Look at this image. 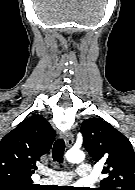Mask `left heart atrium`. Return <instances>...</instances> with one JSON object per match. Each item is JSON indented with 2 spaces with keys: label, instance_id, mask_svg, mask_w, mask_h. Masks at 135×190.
<instances>
[{
  "label": "left heart atrium",
  "instance_id": "1",
  "mask_svg": "<svg viewBox=\"0 0 135 190\" xmlns=\"http://www.w3.org/2000/svg\"><path fill=\"white\" fill-rule=\"evenodd\" d=\"M64 190H80L78 187H68V188H66V189H64Z\"/></svg>",
  "mask_w": 135,
  "mask_h": 190
}]
</instances>
